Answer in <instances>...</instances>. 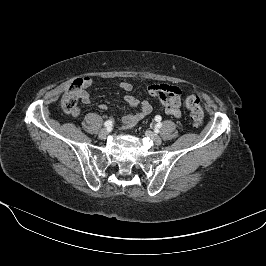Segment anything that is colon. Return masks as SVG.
<instances>
[{"label": "colon", "instance_id": "colon-1", "mask_svg": "<svg viewBox=\"0 0 266 266\" xmlns=\"http://www.w3.org/2000/svg\"><path fill=\"white\" fill-rule=\"evenodd\" d=\"M80 86V80L74 81L70 89L62 97V108L68 113H73L78 108ZM185 104L190 112V120L193 126H200L204 113L199 98L195 95H190L186 98Z\"/></svg>", "mask_w": 266, "mask_h": 266}]
</instances>
